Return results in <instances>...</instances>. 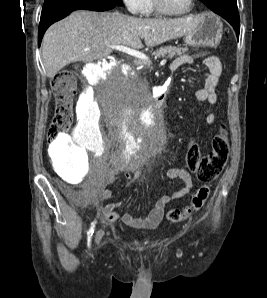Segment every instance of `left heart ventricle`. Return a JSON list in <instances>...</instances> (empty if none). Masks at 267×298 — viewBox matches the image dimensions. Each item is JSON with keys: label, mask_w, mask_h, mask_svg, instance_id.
Returning <instances> with one entry per match:
<instances>
[{"label": "left heart ventricle", "mask_w": 267, "mask_h": 298, "mask_svg": "<svg viewBox=\"0 0 267 298\" xmlns=\"http://www.w3.org/2000/svg\"><path fill=\"white\" fill-rule=\"evenodd\" d=\"M162 2L169 11L179 13L187 9L190 0H162Z\"/></svg>", "instance_id": "b2bd125f"}]
</instances>
